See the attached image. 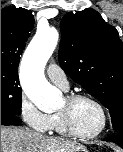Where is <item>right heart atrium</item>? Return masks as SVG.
Returning <instances> with one entry per match:
<instances>
[{"mask_svg": "<svg viewBox=\"0 0 123 152\" xmlns=\"http://www.w3.org/2000/svg\"><path fill=\"white\" fill-rule=\"evenodd\" d=\"M19 112L23 121L30 128L38 132H47L51 129V115L39 110L25 94L21 95Z\"/></svg>", "mask_w": 123, "mask_h": 152, "instance_id": "obj_1", "label": "right heart atrium"}]
</instances>
